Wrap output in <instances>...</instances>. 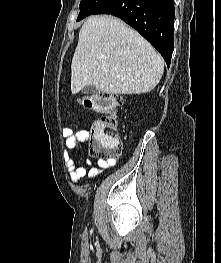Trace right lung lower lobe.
Returning <instances> with one entry per match:
<instances>
[{
    "label": "right lung lower lobe",
    "mask_w": 221,
    "mask_h": 263,
    "mask_svg": "<svg viewBox=\"0 0 221 263\" xmlns=\"http://www.w3.org/2000/svg\"><path fill=\"white\" fill-rule=\"evenodd\" d=\"M93 14H111L124 20L147 39L170 66L174 50L173 0H106Z\"/></svg>",
    "instance_id": "1"
}]
</instances>
